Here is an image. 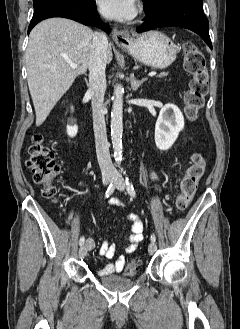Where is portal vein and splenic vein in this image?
<instances>
[{"label": "portal vein and splenic vein", "mask_w": 240, "mask_h": 329, "mask_svg": "<svg viewBox=\"0 0 240 329\" xmlns=\"http://www.w3.org/2000/svg\"><path fill=\"white\" fill-rule=\"evenodd\" d=\"M70 67L73 68V69H75V68L78 67V65L75 64V63H70ZM156 75H157V72H156V71H152V72H150V73L148 74L149 77H154V76H156Z\"/></svg>", "instance_id": "obj_1"}]
</instances>
